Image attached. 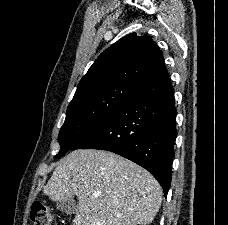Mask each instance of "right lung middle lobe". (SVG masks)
<instances>
[{
  "mask_svg": "<svg viewBox=\"0 0 228 225\" xmlns=\"http://www.w3.org/2000/svg\"><path fill=\"white\" fill-rule=\"evenodd\" d=\"M138 89L124 82H110L81 92L67 108L66 119L59 133L60 151L55 157L63 156Z\"/></svg>",
  "mask_w": 228,
  "mask_h": 225,
  "instance_id": "right-lung-middle-lobe-1",
  "label": "right lung middle lobe"
}]
</instances>
